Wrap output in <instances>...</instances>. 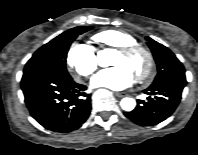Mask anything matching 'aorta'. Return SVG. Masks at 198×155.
Instances as JSON below:
<instances>
[{
	"mask_svg": "<svg viewBox=\"0 0 198 155\" xmlns=\"http://www.w3.org/2000/svg\"><path fill=\"white\" fill-rule=\"evenodd\" d=\"M114 50L106 48L97 53V61L101 67H108L113 64ZM120 106L124 111H132L136 106V101L133 98L125 97L121 100Z\"/></svg>",
	"mask_w": 198,
	"mask_h": 155,
	"instance_id": "1",
	"label": "aorta"
}]
</instances>
